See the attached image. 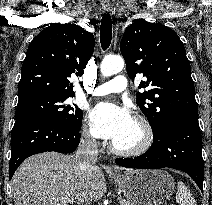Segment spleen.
Segmentation results:
<instances>
[{
    "label": "spleen",
    "instance_id": "obj_1",
    "mask_svg": "<svg viewBox=\"0 0 212 205\" xmlns=\"http://www.w3.org/2000/svg\"><path fill=\"white\" fill-rule=\"evenodd\" d=\"M175 199L180 205H196L193 195L182 181L178 182V189Z\"/></svg>",
    "mask_w": 212,
    "mask_h": 205
}]
</instances>
